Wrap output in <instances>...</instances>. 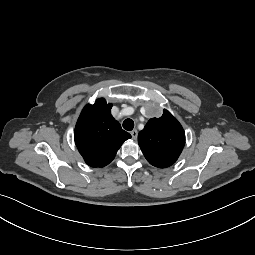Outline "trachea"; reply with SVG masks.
<instances>
[{
    "label": "trachea",
    "instance_id": "obj_1",
    "mask_svg": "<svg viewBox=\"0 0 255 255\" xmlns=\"http://www.w3.org/2000/svg\"><path fill=\"white\" fill-rule=\"evenodd\" d=\"M123 128L127 131H131L134 128V122L132 119H126L123 122Z\"/></svg>",
    "mask_w": 255,
    "mask_h": 255
}]
</instances>
